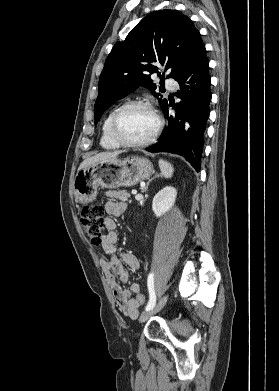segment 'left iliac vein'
I'll return each instance as SVG.
<instances>
[{
  "instance_id": "4c4485c4",
  "label": "left iliac vein",
  "mask_w": 279,
  "mask_h": 391,
  "mask_svg": "<svg viewBox=\"0 0 279 391\" xmlns=\"http://www.w3.org/2000/svg\"><path fill=\"white\" fill-rule=\"evenodd\" d=\"M167 300H168V294H165L163 297L159 299V301L154 305L153 308L141 314L139 321L143 323L146 320H148L151 316L158 313L165 306Z\"/></svg>"
}]
</instances>
